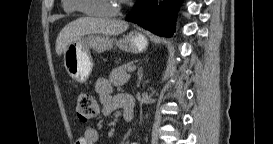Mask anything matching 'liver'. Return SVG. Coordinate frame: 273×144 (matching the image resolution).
Here are the masks:
<instances>
[{"label": "liver", "mask_w": 273, "mask_h": 144, "mask_svg": "<svg viewBox=\"0 0 273 144\" xmlns=\"http://www.w3.org/2000/svg\"><path fill=\"white\" fill-rule=\"evenodd\" d=\"M128 23L122 20L82 17L68 23L56 39V53L61 55L68 45L79 37L88 34L118 35L128 29Z\"/></svg>", "instance_id": "obj_1"}]
</instances>
